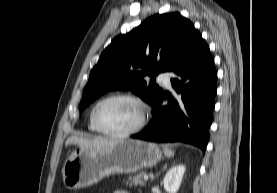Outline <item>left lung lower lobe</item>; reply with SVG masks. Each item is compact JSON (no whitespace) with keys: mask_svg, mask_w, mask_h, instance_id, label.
I'll use <instances>...</instances> for the list:
<instances>
[{"mask_svg":"<svg viewBox=\"0 0 277 193\" xmlns=\"http://www.w3.org/2000/svg\"><path fill=\"white\" fill-rule=\"evenodd\" d=\"M171 72L174 95H162L153 106L148 127L132 135L134 139L155 142L183 141L203 151L209 139V127L217 92L214 59L201 34L194 39L185 58ZM167 97L168 104L162 106Z\"/></svg>","mask_w":277,"mask_h":193,"instance_id":"obj_1","label":"left lung lower lobe"}]
</instances>
